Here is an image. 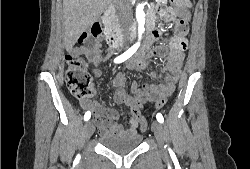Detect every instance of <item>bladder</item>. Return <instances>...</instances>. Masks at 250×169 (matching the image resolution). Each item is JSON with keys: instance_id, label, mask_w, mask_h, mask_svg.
Listing matches in <instances>:
<instances>
[{"instance_id": "31cf9c89", "label": "bladder", "mask_w": 250, "mask_h": 169, "mask_svg": "<svg viewBox=\"0 0 250 169\" xmlns=\"http://www.w3.org/2000/svg\"><path fill=\"white\" fill-rule=\"evenodd\" d=\"M101 146L119 155L136 151L144 141L143 134L135 133H101Z\"/></svg>"}]
</instances>
